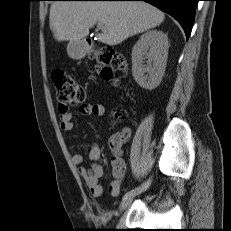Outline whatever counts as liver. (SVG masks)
<instances>
[{"label": "liver", "mask_w": 231, "mask_h": 231, "mask_svg": "<svg viewBox=\"0 0 231 231\" xmlns=\"http://www.w3.org/2000/svg\"><path fill=\"white\" fill-rule=\"evenodd\" d=\"M164 18L145 2L56 1L50 7L49 26L57 41H79L98 22L103 25L98 41L114 46L160 25Z\"/></svg>", "instance_id": "6515ba94"}]
</instances>
